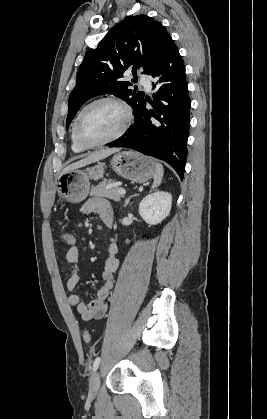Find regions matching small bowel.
Segmentation results:
<instances>
[{
  "label": "small bowel",
  "mask_w": 267,
  "mask_h": 419,
  "mask_svg": "<svg viewBox=\"0 0 267 419\" xmlns=\"http://www.w3.org/2000/svg\"><path fill=\"white\" fill-rule=\"evenodd\" d=\"M84 214L96 213L106 224L107 221L113 222L114 211L111 205L100 198H93L87 201L83 207ZM117 244L114 239L108 248L109 256L106 259L104 268L101 273L104 284L98 289L96 298L89 303H84L81 297L75 293L79 286L80 276L78 273L77 263L79 259V251L76 245L70 246L66 252L65 260L67 264L66 270V286L70 292L68 297L69 305L76 308L84 321L98 320L104 317L107 311L106 300L114 285V274L119 266V260L116 257Z\"/></svg>",
  "instance_id": "c3829d8e"
}]
</instances>
